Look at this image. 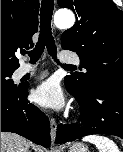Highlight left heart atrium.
I'll return each instance as SVG.
<instances>
[{
	"mask_svg": "<svg viewBox=\"0 0 123 152\" xmlns=\"http://www.w3.org/2000/svg\"><path fill=\"white\" fill-rule=\"evenodd\" d=\"M34 99L39 105L53 110H60L66 105L64 93L59 83L53 78H49L37 86Z\"/></svg>",
	"mask_w": 123,
	"mask_h": 152,
	"instance_id": "obj_1",
	"label": "left heart atrium"
}]
</instances>
